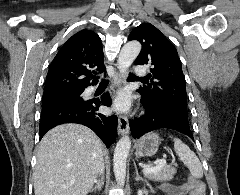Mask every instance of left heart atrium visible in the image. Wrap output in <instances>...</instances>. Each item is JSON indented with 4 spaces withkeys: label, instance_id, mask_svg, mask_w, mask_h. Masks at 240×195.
<instances>
[{
    "label": "left heart atrium",
    "instance_id": "left-heart-atrium-1",
    "mask_svg": "<svg viewBox=\"0 0 240 195\" xmlns=\"http://www.w3.org/2000/svg\"><path fill=\"white\" fill-rule=\"evenodd\" d=\"M129 107H130L129 96L124 92L119 93L113 105L114 110L118 112H125L129 109Z\"/></svg>",
    "mask_w": 240,
    "mask_h": 195
}]
</instances>
